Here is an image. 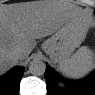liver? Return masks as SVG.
<instances>
[{
  "label": "liver",
  "instance_id": "obj_1",
  "mask_svg": "<svg viewBox=\"0 0 95 95\" xmlns=\"http://www.w3.org/2000/svg\"><path fill=\"white\" fill-rule=\"evenodd\" d=\"M81 21L88 30L90 19L82 9L62 7L52 2H27L0 7V68L4 73L25 60L36 46V39L54 34L68 20ZM21 56L14 55L15 49Z\"/></svg>",
  "mask_w": 95,
  "mask_h": 95
}]
</instances>
